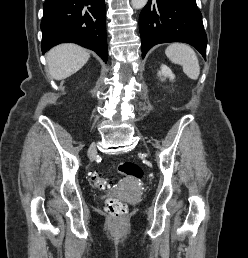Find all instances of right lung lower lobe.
I'll return each instance as SVG.
<instances>
[{
	"instance_id": "1",
	"label": "right lung lower lobe",
	"mask_w": 248,
	"mask_h": 258,
	"mask_svg": "<svg viewBox=\"0 0 248 258\" xmlns=\"http://www.w3.org/2000/svg\"><path fill=\"white\" fill-rule=\"evenodd\" d=\"M43 9V53L57 44L73 42L95 51L107 62L104 0H46Z\"/></svg>"
}]
</instances>
